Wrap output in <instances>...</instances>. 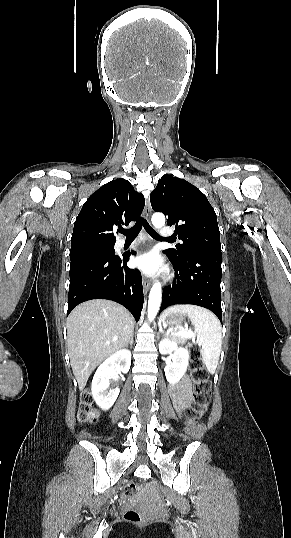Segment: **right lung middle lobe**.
<instances>
[{
	"mask_svg": "<svg viewBox=\"0 0 291 538\" xmlns=\"http://www.w3.org/2000/svg\"><path fill=\"white\" fill-rule=\"evenodd\" d=\"M89 256H116L114 245H95L70 250L71 261Z\"/></svg>",
	"mask_w": 291,
	"mask_h": 538,
	"instance_id": "obj_1",
	"label": "right lung middle lobe"
}]
</instances>
